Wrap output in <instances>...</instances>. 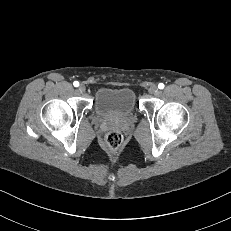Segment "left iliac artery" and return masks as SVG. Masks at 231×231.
<instances>
[{"mask_svg":"<svg viewBox=\"0 0 231 231\" xmlns=\"http://www.w3.org/2000/svg\"><path fill=\"white\" fill-rule=\"evenodd\" d=\"M158 88H159V89H163V88H164V84H163V83H159V84H158Z\"/></svg>","mask_w":231,"mask_h":231,"instance_id":"left-iliac-artery-1","label":"left iliac artery"}]
</instances>
